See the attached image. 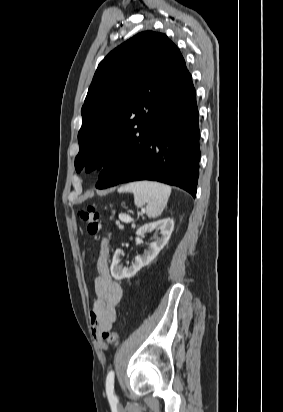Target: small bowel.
<instances>
[{"mask_svg":"<svg viewBox=\"0 0 283 412\" xmlns=\"http://www.w3.org/2000/svg\"><path fill=\"white\" fill-rule=\"evenodd\" d=\"M108 256V242L104 241L97 260L95 298L89 313L91 331L98 342H101L102 332L111 329L116 317L115 308L123 296L122 287L110 275Z\"/></svg>","mask_w":283,"mask_h":412,"instance_id":"1","label":"small bowel"}]
</instances>
